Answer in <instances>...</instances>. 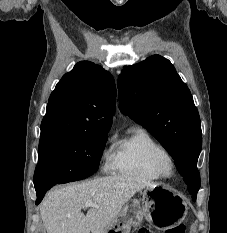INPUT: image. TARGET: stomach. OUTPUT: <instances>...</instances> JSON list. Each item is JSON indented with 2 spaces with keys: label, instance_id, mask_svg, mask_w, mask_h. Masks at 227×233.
I'll return each instance as SVG.
<instances>
[{
  "label": "stomach",
  "instance_id": "obj_1",
  "mask_svg": "<svg viewBox=\"0 0 227 233\" xmlns=\"http://www.w3.org/2000/svg\"><path fill=\"white\" fill-rule=\"evenodd\" d=\"M188 211L184 198L165 186L146 188L142 199H132L104 228L102 233H129L132 226H139L143 218L162 230L180 224Z\"/></svg>",
  "mask_w": 227,
  "mask_h": 233
}]
</instances>
